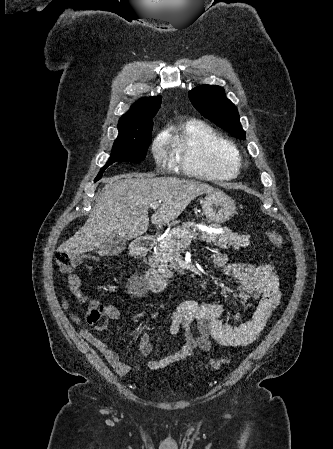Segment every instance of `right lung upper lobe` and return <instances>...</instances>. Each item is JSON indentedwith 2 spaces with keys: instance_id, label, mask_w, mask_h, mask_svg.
I'll use <instances>...</instances> for the list:
<instances>
[{
  "instance_id": "1",
  "label": "right lung upper lobe",
  "mask_w": 333,
  "mask_h": 449,
  "mask_svg": "<svg viewBox=\"0 0 333 449\" xmlns=\"http://www.w3.org/2000/svg\"><path fill=\"white\" fill-rule=\"evenodd\" d=\"M161 104V97L142 98L130 110L121 116L118 123L117 139L136 138L141 136L144 124L155 116Z\"/></svg>"
}]
</instances>
